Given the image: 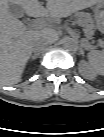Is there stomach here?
I'll list each match as a JSON object with an SVG mask.
<instances>
[{"label":"stomach","mask_w":104,"mask_h":137,"mask_svg":"<svg viewBox=\"0 0 104 137\" xmlns=\"http://www.w3.org/2000/svg\"><path fill=\"white\" fill-rule=\"evenodd\" d=\"M102 7H103V4L102 3H99L96 5V7L94 8V13H95V16H102Z\"/></svg>","instance_id":"stomach-1"}]
</instances>
